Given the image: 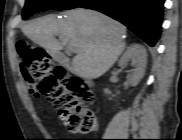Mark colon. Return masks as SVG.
<instances>
[{
	"label": "colon",
	"instance_id": "obj_1",
	"mask_svg": "<svg viewBox=\"0 0 182 140\" xmlns=\"http://www.w3.org/2000/svg\"><path fill=\"white\" fill-rule=\"evenodd\" d=\"M16 50L30 92L49 100L71 132H92L97 119L85 105L92 101V95L84 81L70 76L44 50L25 40L16 43Z\"/></svg>",
	"mask_w": 182,
	"mask_h": 140
}]
</instances>
